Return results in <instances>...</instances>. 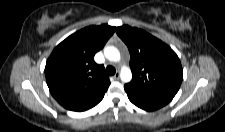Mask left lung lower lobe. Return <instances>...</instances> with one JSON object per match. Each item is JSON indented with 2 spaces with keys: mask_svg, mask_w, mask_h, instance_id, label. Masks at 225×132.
I'll return each instance as SVG.
<instances>
[{
  "mask_svg": "<svg viewBox=\"0 0 225 132\" xmlns=\"http://www.w3.org/2000/svg\"><path fill=\"white\" fill-rule=\"evenodd\" d=\"M124 89L128 95L129 100L135 104L137 107L147 110L154 111L166 104H168L172 99L162 96H144L137 93L130 92L125 86Z\"/></svg>",
  "mask_w": 225,
  "mask_h": 132,
  "instance_id": "0a47b994",
  "label": "left lung lower lobe"
}]
</instances>
